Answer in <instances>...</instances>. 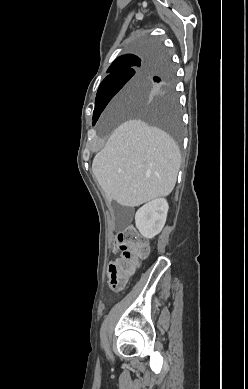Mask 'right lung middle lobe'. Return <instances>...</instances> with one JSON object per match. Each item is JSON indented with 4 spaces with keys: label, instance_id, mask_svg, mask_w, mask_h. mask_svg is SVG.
<instances>
[{
    "label": "right lung middle lobe",
    "instance_id": "dd1d6c3e",
    "mask_svg": "<svg viewBox=\"0 0 248 389\" xmlns=\"http://www.w3.org/2000/svg\"><path fill=\"white\" fill-rule=\"evenodd\" d=\"M157 48L161 46L156 42H147L142 49L143 56ZM174 75V68L166 52L160 54L156 66L133 64L111 72L99 86L93 112V125L109 101L126 83L139 86L147 83V78L151 76L154 77V83H150L147 87L148 101L141 100L131 103L128 106L129 114L163 129L180 143L182 140L181 116L174 93Z\"/></svg>",
    "mask_w": 248,
    "mask_h": 389
}]
</instances>
